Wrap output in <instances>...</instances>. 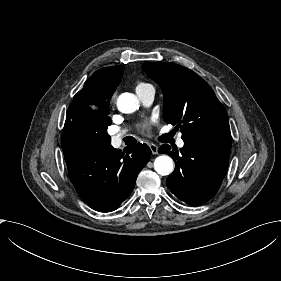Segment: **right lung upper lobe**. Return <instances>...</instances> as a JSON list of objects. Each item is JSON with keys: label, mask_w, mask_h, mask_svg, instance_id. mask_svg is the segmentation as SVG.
Returning <instances> with one entry per match:
<instances>
[{"label": "right lung upper lobe", "mask_w": 281, "mask_h": 281, "mask_svg": "<svg viewBox=\"0 0 281 281\" xmlns=\"http://www.w3.org/2000/svg\"><path fill=\"white\" fill-rule=\"evenodd\" d=\"M124 66L105 67L96 71L73 98L67 111L65 124L86 117L96 125L106 123L110 99L119 85Z\"/></svg>", "instance_id": "obj_1"}]
</instances>
